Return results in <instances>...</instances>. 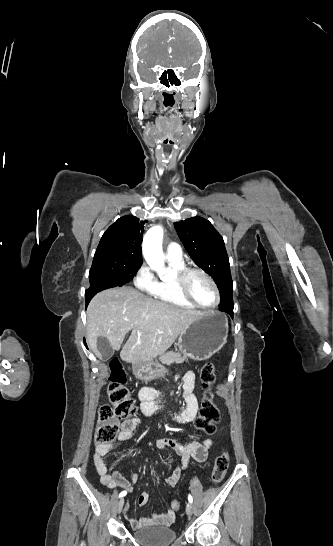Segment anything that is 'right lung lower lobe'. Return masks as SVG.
<instances>
[{
    "label": "right lung lower lobe",
    "instance_id": "98d812e1",
    "mask_svg": "<svg viewBox=\"0 0 333 546\" xmlns=\"http://www.w3.org/2000/svg\"><path fill=\"white\" fill-rule=\"evenodd\" d=\"M95 287H97L96 290H91V288H89V289H87V290L85 291L86 307H87L88 303L90 302V300L92 299V297H93L96 293H98V292H100V291H102V290H104V289L111 288V287H115V286H112V285H105V284H99V285H96Z\"/></svg>",
    "mask_w": 333,
    "mask_h": 546
}]
</instances>
